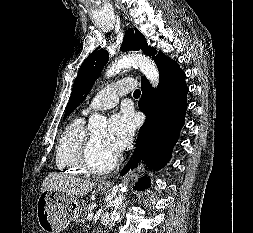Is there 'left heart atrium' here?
I'll return each instance as SVG.
<instances>
[{"instance_id": "obj_1", "label": "left heart atrium", "mask_w": 253, "mask_h": 233, "mask_svg": "<svg viewBox=\"0 0 253 233\" xmlns=\"http://www.w3.org/2000/svg\"><path fill=\"white\" fill-rule=\"evenodd\" d=\"M134 129L135 121L129 112L112 115L103 137L105 147L114 153L121 152L130 143Z\"/></svg>"}]
</instances>
